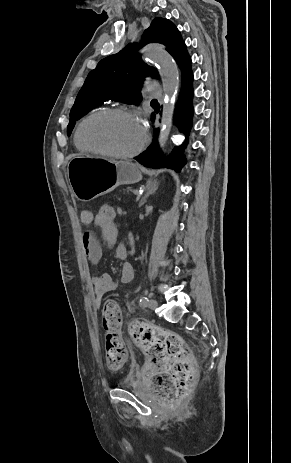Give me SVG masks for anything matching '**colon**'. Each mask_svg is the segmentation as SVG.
Returning a JSON list of instances; mask_svg holds the SVG:
<instances>
[{
	"label": "colon",
	"instance_id": "5ec220e1",
	"mask_svg": "<svg viewBox=\"0 0 291 463\" xmlns=\"http://www.w3.org/2000/svg\"><path fill=\"white\" fill-rule=\"evenodd\" d=\"M96 221L100 228L114 226L118 220L115 205L99 203ZM102 324L106 330L105 357L108 368L123 367L127 352L121 335L122 312L119 306L108 301L102 310ZM133 335L148 356L144 374L149 378L154 396L166 403L186 394L194 378V366L188 347L174 332L151 324L136 322L131 326Z\"/></svg>",
	"mask_w": 291,
	"mask_h": 463
}]
</instances>
